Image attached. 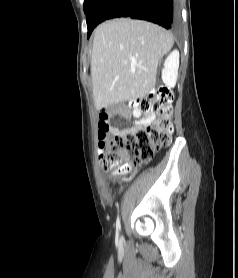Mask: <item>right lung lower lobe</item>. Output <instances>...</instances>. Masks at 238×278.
Returning a JSON list of instances; mask_svg holds the SVG:
<instances>
[{
  "instance_id": "obj_1",
  "label": "right lung lower lobe",
  "mask_w": 238,
  "mask_h": 278,
  "mask_svg": "<svg viewBox=\"0 0 238 278\" xmlns=\"http://www.w3.org/2000/svg\"><path fill=\"white\" fill-rule=\"evenodd\" d=\"M121 16L147 20L166 29L180 24L177 0H96L86 14L87 37L102 21Z\"/></svg>"
}]
</instances>
